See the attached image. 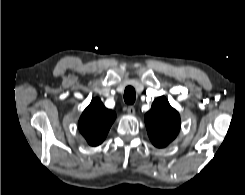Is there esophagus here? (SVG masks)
I'll return each mask as SVG.
<instances>
[{"label": "esophagus", "mask_w": 245, "mask_h": 195, "mask_svg": "<svg viewBox=\"0 0 245 195\" xmlns=\"http://www.w3.org/2000/svg\"><path fill=\"white\" fill-rule=\"evenodd\" d=\"M127 113L129 115H134L135 114V107L134 106H128Z\"/></svg>", "instance_id": "1"}]
</instances>
